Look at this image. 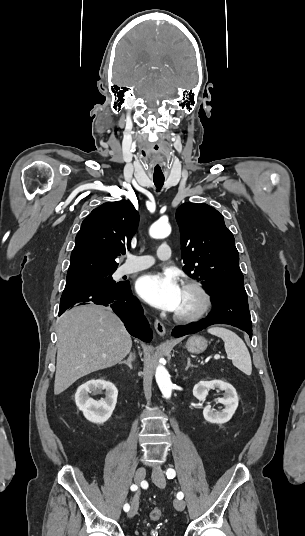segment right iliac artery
<instances>
[{"mask_svg": "<svg viewBox=\"0 0 305 536\" xmlns=\"http://www.w3.org/2000/svg\"><path fill=\"white\" fill-rule=\"evenodd\" d=\"M130 488H131L132 491H135V490H137L138 487H137V485L133 484ZM123 509H124L125 512L129 511V509H130L129 504H125Z\"/></svg>", "mask_w": 305, "mask_h": 536, "instance_id": "obj_1", "label": "right iliac artery"}]
</instances>
